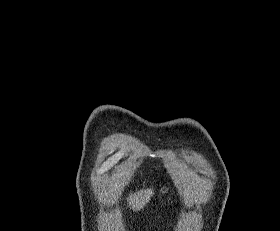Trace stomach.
<instances>
[{
  "label": "stomach",
  "mask_w": 280,
  "mask_h": 231,
  "mask_svg": "<svg viewBox=\"0 0 280 231\" xmlns=\"http://www.w3.org/2000/svg\"><path fill=\"white\" fill-rule=\"evenodd\" d=\"M162 189H163V193H167L168 187H165V185H164V187H162Z\"/></svg>",
  "instance_id": "0dacf381"
}]
</instances>
